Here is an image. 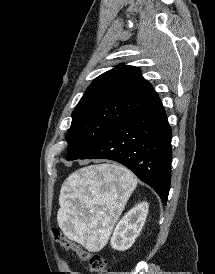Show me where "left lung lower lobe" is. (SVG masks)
<instances>
[{
  "label": "left lung lower lobe",
  "instance_id": "0a47b994",
  "mask_svg": "<svg viewBox=\"0 0 215 274\" xmlns=\"http://www.w3.org/2000/svg\"><path fill=\"white\" fill-rule=\"evenodd\" d=\"M171 129L161 100L117 125L82 159H109L129 168L167 203L171 180Z\"/></svg>",
  "mask_w": 215,
  "mask_h": 274
}]
</instances>
